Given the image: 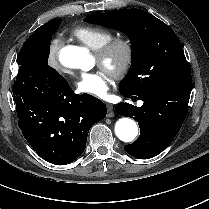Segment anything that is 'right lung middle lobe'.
I'll use <instances>...</instances> for the list:
<instances>
[{
  "label": "right lung middle lobe",
  "instance_id": "right-lung-middle-lobe-1",
  "mask_svg": "<svg viewBox=\"0 0 209 209\" xmlns=\"http://www.w3.org/2000/svg\"><path fill=\"white\" fill-rule=\"evenodd\" d=\"M61 19H55L43 30H36L23 44L17 63L20 66H33L48 69L49 48L52 35L57 31Z\"/></svg>",
  "mask_w": 209,
  "mask_h": 209
}]
</instances>
